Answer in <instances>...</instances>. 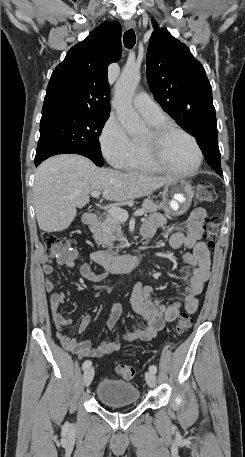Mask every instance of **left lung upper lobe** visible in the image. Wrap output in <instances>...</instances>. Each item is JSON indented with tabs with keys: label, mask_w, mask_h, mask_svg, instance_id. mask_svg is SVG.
Returning <instances> with one entry per match:
<instances>
[{
	"label": "left lung upper lobe",
	"mask_w": 245,
	"mask_h": 457,
	"mask_svg": "<svg viewBox=\"0 0 245 457\" xmlns=\"http://www.w3.org/2000/svg\"><path fill=\"white\" fill-rule=\"evenodd\" d=\"M147 51L149 87L161 107L195 136L217 126L212 88L203 66L189 48L154 25Z\"/></svg>",
	"instance_id": "obj_1"
}]
</instances>
